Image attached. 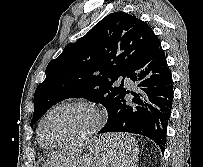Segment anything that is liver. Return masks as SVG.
I'll return each mask as SVG.
<instances>
[{
  "mask_svg": "<svg viewBox=\"0 0 203 167\" xmlns=\"http://www.w3.org/2000/svg\"><path fill=\"white\" fill-rule=\"evenodd\" d=\"M131 141L132 139L128 135H108L101 137L100 140L96 142L95 147L102 146L105 143L127 146ZM76 157L77 155L70 152L56 154L49 158L43 167H70V165L76 160Z\"/></svg>",
  "mask_w": 203,
  "mask_h": 167,
  "instance_id": "1",
  "label": "liver"
}]
</instances>
